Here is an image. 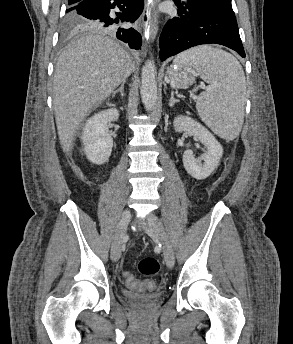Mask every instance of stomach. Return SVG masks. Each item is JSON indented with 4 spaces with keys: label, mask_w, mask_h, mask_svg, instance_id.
<instances>
[{
    "label": "stomach",
    "mask_w": 293,
    "mask_h": 344,
    "mask_svg": "<svg viewBox=\"0 0 293 344\" xmlns=\"http://www.w3.org/2000/svg\"><path fill=\"white\" fill-rule=\"evenodd\" d=\"M199 71L188 62L174 60L168 68L166 79L177 89H186L195 82Z\"/></svg>",
    "instance_id": "0dacf381"
}]
</instances>
